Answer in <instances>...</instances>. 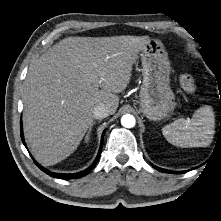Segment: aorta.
I'll return each mask as SVG.
<instances>
[{
  "label": "aorta",
  "instance_id": "762f6f07",
  "mask_svg": "<svg viewBox=\"0 0 221 221\" xmlns=\"http://www.w3.org/2000/svg\"><path fill=\"white\" fill-rule=\"evenodd\" d=\"M135 122H136L135 117L133 115H130V114L123 115L122 118H121V124L125 128L134 127Z\"/></svg>",
  "mask_w": 221,
  "mask_h": 221
}]
</instances>
